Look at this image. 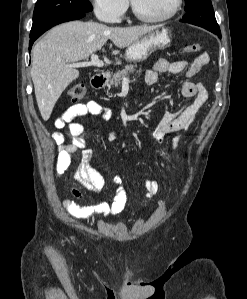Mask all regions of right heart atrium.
Masks as SVG:
<instances>
[{
	"label": "right heart atrium",
	"instance_id": "obj_1",
	"mask_svg": "<svg viewBox=\"0 0 247 299\" xmlns=\"http://www.w3.org/2000/svg\"><path fill=\"white\" fill-rule=\"evenodd\" d=\"M96 16L107 23H117L128 8V0H90Z\"/></svg>",
	"mask_w": 247,
	"mask_h": 299
}]
</instances>
